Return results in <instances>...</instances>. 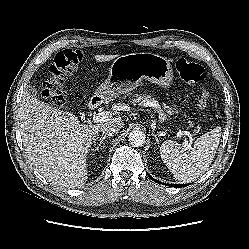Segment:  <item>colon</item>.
<instances>
[{"mask_svg": "<svg viewBox=\"0 0 249 249\" xmlns=\"http://www.w3.org/2000/svg\"><path fill=\"white\" fill-rule=\"evenodd\" d=\"M84 59V53L77 49H64L58 52L49 67V76L43 84V96L53 104L61 106L64 102V88L67 78L77 69ZM175 67L180 77L190 85H199L197 103L206 107L209 102V90L205 80L204 68L198 63L178 57Z\"/></svg>", "mask_w": 249, "mask_h": 249, "instance_id": "colon-1", "label": "colon"}]
</instances>
